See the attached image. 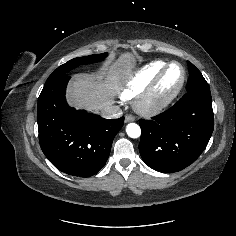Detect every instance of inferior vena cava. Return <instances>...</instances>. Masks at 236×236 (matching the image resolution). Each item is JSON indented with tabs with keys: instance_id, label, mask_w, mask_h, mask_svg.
I'll list each match as a JSON object with an SVG mask.
<instances>
[{
	"instance_id": "1",
	"label": "inferior vena cava",
	"mask_w": 236,
	"mask_h": 236,
	"mask_svg": "<svg viewBox=\"0 0 236 236\" xmlns=\"http://www.w3.org/2000/svg\"><path fill=\"white\" fill-rule=\"evenodd\" d=\"M123 114L119 106H108L103 109L101 115L107 119L118 118Z\"/></svg>"
}]
</instances>
